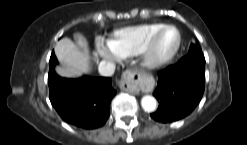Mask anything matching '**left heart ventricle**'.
I'll list each match as a JSON object with an SVG mask.
<instances>
[{"label":"left heart ventricle","mask_w":247,"mask_h":145,"mask_svg":"<svg viewBox=\"0 0 247 145\" xmlns=\"http://www.w3.org/2000/svg\"><path fill=\"white\" fill-rule=\"evenodd\" d=\"M177 42V34L173 29L164 30L157 38L154 46V54L156 56H165L169 54L175 47Z\"/></svg>","instance_id":"obj_1"}]
</instances>
